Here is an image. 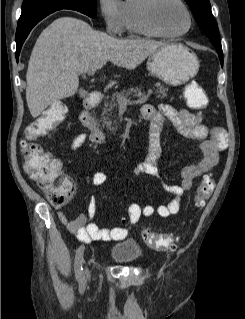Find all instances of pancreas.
<instances>
[{
    "instance_id": "cf45deb5",
    "label": "pancreas",
    "mask_w": 245,
    "mask_h": 319,
    "mask_svg": "<svg viewBox=\"0 0 245 319\" xmlns=\"http://www.w3.org/2000/svg\"><path fill=\"white\" fill-rule=\"evenodd\" d=\"M154 93L156 94V98L163 99L166 97L168 88L161 85V83L157 82L154 85ZM142 96L141 87H131L128 90H123L120 93H115L112 95L111 100H106L103 111L101 114V119L103 121V126H106V130L111 133H115L117 130L116 121H112L111 117H113V110L117 109L120 98H134Z\"/></svg>"
}]
</instances>
